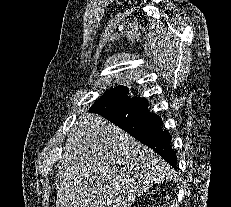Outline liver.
Segmentation results:
<instances>
[{
	"label": "liver",
	"instance_id": "6515ba94",
	"mask_svg": "<svg viewBox=\"0 0 231 207\" xmlns=\"http://www.w3.org/2000/svg\"><path fill=\"white\" fill-rule=\"evenodd\" d=\"M56 174V207H130L171 176L155 152L105 118L84 113L68 135Z\"/></svg>",
	"mask_w": 231,
	"mask_h": 207
}]
</instances>
